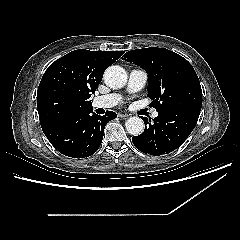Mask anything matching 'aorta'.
I'll return each mask as SVG.
<instances>
[{
  "label": "aorta",
  "instance_id": "1",
  "mask_svg": "<svg viewBox=\"0 0 240 240\" xmlns=\"http://www.w3.org/2000/svg\"><path fill=\"white\" fill-rule=\"evenodd\" d=\"M127 73L124 68L120 66H110L104 73L105 84L113 89L122 88L127 82ZM126 130L133 136H138L144 131V122L139 117H130L126 123Z\"/></svg>",
  "mask_w": 240,
  "mask_h": 240
}]
</instances>
